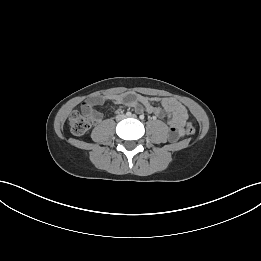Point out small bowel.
Segmentation results:
<instances>
[{
    "mask_svg": "<svg viewBox=\"0 0 261 261\" xmlns=\"http://www.w3.org/2000/svg\"><path fill=\"white\" fill-rule=\"evenodd\" d=\"M105 101L132 107L137 112L146 110L157 116L166 115L170 127V138L173 141L184 134L183 126L188 117V112L186 107L175 98L148 97L134 92H127L122 94L102 95L88 99L82 103L81 109L83 112L90 114L94 122L99 123L102 120V114L94 108ZM156 104H160V106H157Z\"/></svg>",
    "mask_w": 261,
    "mask_h": 261,
    "instance_id": "obj_1",
    "label": "small bowel"
}]
</instances>
